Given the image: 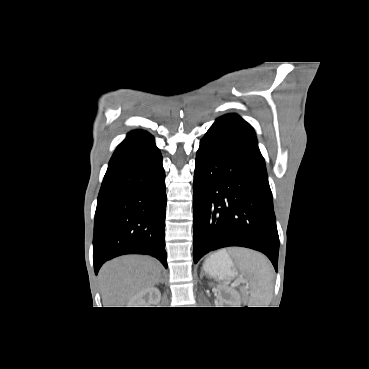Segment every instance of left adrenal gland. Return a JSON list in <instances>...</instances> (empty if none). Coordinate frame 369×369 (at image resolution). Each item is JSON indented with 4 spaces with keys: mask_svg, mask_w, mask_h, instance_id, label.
<instances>
[{
    "mask_svg": "<svg viewBox=\"0 0 369 369\" xmlns=\"http://www.w3.org/2000/svg\"><path fill=\"white\" fill-rule=\"evenodd\" d=\"M206 275V274H205ZM204 276V272H203V270L201 271V275H200V277L202 278Z\"/></svg>",
    "mask_w": 369,
    "mask_h": 369,
    "instance_id": "a2214340",
    "label": "left adrenal gland"
}]
</instances>
